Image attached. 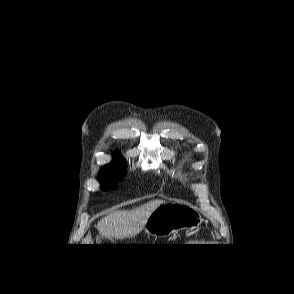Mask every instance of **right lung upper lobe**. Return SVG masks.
<instances>
[{
    "label": "right lung upper lobe",
    "mask_w": 294,
    "mask_h": 294,
    "mask_svg": "<svg viewBox=\"0 0 294 294\" xmlns=\"http://www.w3.org/2000/svg\"><path fill=\"white\" fill-rule=\"evenodd\" d=\"M113 162H123V160L121 158H119L118 156H115V159Z\"/></svg>",
    "instance_id": "right-lung-upper-lobe-1"
}]
</instances>
